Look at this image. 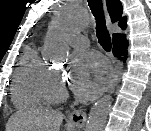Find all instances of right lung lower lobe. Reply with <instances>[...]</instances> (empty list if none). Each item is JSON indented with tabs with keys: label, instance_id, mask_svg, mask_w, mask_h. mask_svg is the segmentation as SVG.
<instances>
[{
	"label": "right lung lower lobe",
	"instance_id": "obj_1",
	"mask_svg": "<svg viewBox=\"0 0 151 131\" xmlns=\"http://www.w3.org/2000/svg\"><path fill=\"white\" fill-rule=\"evenodd\" d=\"M127 47H128V42L126 41V38H120L117 41H113V54L116 57L124 56L123 60L126 59L127 55Z\"/></svg>",
	"mask_w": 151,
	"mask_h": 131
}]
</instances>
